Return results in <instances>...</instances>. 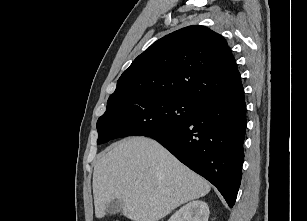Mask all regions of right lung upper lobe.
<instances>
[{
    "instance_id": "right-lung-upper-lobe-1",
    "label": "right lung upper lobe",
    "mask_w": 307,
    "mask_h": 221,
    "mask_svg": "<svg viewBox=\"0 0 307 221\" xmlns=\"http://www.w3.org/2000/svg\"><path fill=\"white\" fill-rule=\"evenodd\" d=\"M243 90L225 39L204 26H188L153 43L118 79L107 103L139 95H164L197 104Z\"/></svg>"
}]
</instances>
